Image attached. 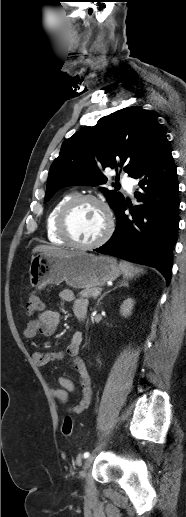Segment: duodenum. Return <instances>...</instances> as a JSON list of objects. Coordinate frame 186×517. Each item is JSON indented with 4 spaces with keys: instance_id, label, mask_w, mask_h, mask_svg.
Masks as SVG:
<instances>
[{
    "instance_id": "obj_1",
    "label": "duodenum",
    "mask_w": 186,
    "mask_h": 517,
    "mask_svg": "<svg viewBox=\"0 0 186 517\" xmlns=\"http://www.w3.org/2000/svg\"><path fill=\"white\" fill-rule=\"evenodd\" d=\"M78 317H79L80 320H84L85 317H86V312L79 313Z\"/></svg>"
}]
</instances>
